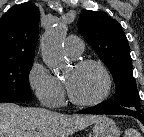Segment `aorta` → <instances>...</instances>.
<instances>
[{"instance_id": "762f6f07", "label": "aorta", "mask_w": 144, "mask_h": 137, "mask_svg": "<svg viewBox=\"0 0 144 137\" xmlns=\"http://www.w3.org/2000/svg\"><path fill=\"white\" fill-rule=\"evenodd\" d=\"M65 31L66 27L64 24H56L42 39V58L50 69L59 70L65 65L63 51Z\"/></svg>"}]
</instances>
